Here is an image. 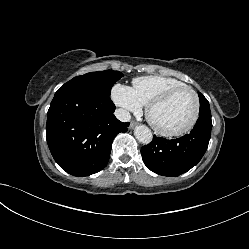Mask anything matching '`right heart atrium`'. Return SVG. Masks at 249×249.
Returning a JSON list of instances; mask_svg holds the SVG:
<instances>
[{
    "instance_id": "d8ad5b80",
    "label": "right heart atrium",
    "mask_w": 249,
    "mask_h": 249,
    "mask_svg": "<svg viewBox=\"0 0 249 249\" xmlns=\"http://www.w3.org/2000/svg\"><path fill=\"white\" fill-rule=\"evenodd\" d=\"M112 99L124 114L128 112L138 113L143 105L136 97L130 86L117 83L112 88Z\"/></svg>"
}]
</instances>
